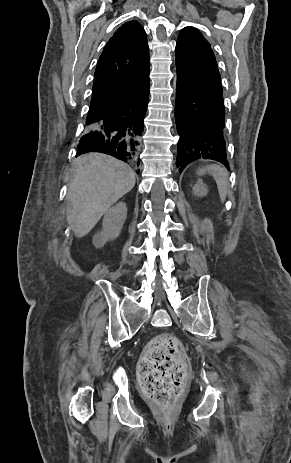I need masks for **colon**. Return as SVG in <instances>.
<instances>
[{
  "label": "colon",
  "mask_w": 291,
  "mask_h": 463,
  "mask_svg": "<svg viewBox=\"0 0 291 463\" xmlns=\"http://www.w3.org/2000/svg\"><path fill=\"white\" fill-rule=\"evenodd\" d=\"M138 371L143 393L164 408L171 406L189 375L181 342L169 334L154 338L142 354Z\"/></svg>",
  "instance_id": "1"
}]
</instances>
